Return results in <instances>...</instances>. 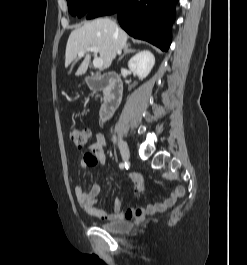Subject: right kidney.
<instances>
[{
  "label": "right kidney",
  "mask_w": 247,
  "mask_h": 265,
  "mask_svg": "<svg viewBox=\"0 0 247 265\" xmlns=\"http://www.w3.org/2000/svg\"><path fill=\"white\" fill-rule=\"evenodd\" d=\"M154 64V55L148 50H143L129 60L128 67L130 71L135 73L140 79H143L149 75Z\"/></svg>",
  "instance_id": "obj_1"
}]
</instances>
